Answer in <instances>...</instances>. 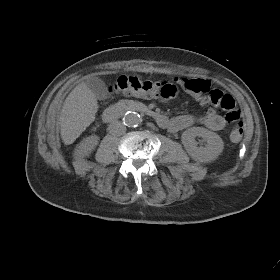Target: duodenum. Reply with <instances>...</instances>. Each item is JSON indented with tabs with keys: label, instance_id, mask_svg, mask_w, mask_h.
<instances>
[{
	"label": "duodenum",
	"instance_id": "duodenum-1",
	"mask_svg": "<svg viewBox=\"0 0 280 280\" xmlns=\"http://www.w3.org/2000/svg\"><path fill=\"white\" fill-rule=\"evenodd\" d=\"M126 111L145 112L149 114L151 117H153L160 127L167 126L169 122L168 117H166L165 115L152 111L139 103L118 104V105L110 106L103 112L102 119L105 123H111L116 119H118Z\"/></svg>",
	"mask_w": 280,
	"mask_h": 280
}]
</instances>
